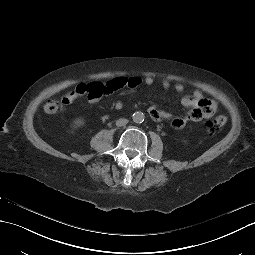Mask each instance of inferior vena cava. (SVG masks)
Wrapping results in <instances>:
<instances>
[{
	"label": "inferior vena cava",
	"mask_w": 255,
	"mask_h": 255,
	"mask_svg": "<svg viewBox=\"0 0 255 255\" xmlns=\"http://www.w3.org/2000/svg\"><path fill=\"white\" fill-rule=\"evenodd\" d=\"M127 123H128L127 119L121 118V119L116 121V126H118V127L125 126Z\"/></svg>",
	"instance_id": "obj_1"
}]
</instances>
